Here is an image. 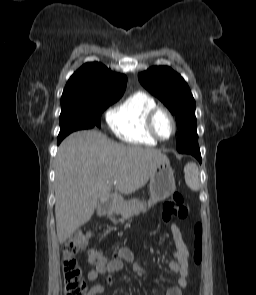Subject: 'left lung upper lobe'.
<instances>
[{
    "mask_svg": "<svg viewBox=\"0 0 256 295\" xmlns=\"http://www.w3.org/2000/svg\"><path fill=\"white\" fill-rule=\"evenodd\" d=\"M141 84L175 114L178 152L198 147L195 100L185 80L170 67L154 66L139 74Z\"/></svg>",
    "mask_w": 256,
    "mask_h": 295,
    "instance_id": "1",
    "label": "left lung upper lobe"
}]
</instances>
